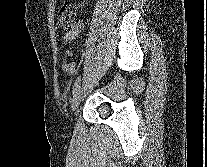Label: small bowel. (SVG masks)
Masks as SVG:
<instances>
[{
    "instance_id": "c3829d8e",
    "label": "small bowel",
    "mask_w": 207,
    "mask_h": 167,
    "mask_svg": "<svg viewBox=\"0 0 207 167\" xmlns=\"http://www.w3.org/2000/svg\"><path fill=\"white\" fill-rule=\"evenodd\" d=\"M82 27H83L82 23H78V24L75 26V28H74L72 34L69 35V36H65V37H64V42H65V44H69V43L73 40V38L79 34V32L81 31ZM73 54H74V52H73L71 49H68V50L66 51V56H67V57H71V56H73ZM62 69H63L67 74H69V75H73V74L76 72V64H75V62H73V61H67V60H64V61L62 62Z\"/></svg>"
}]
</instances>
